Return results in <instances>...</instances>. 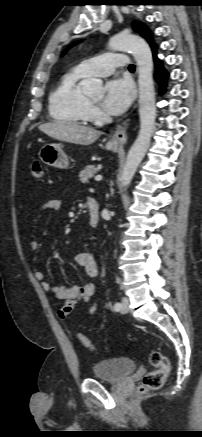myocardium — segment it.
Returning <instances> with one entry per match:
<instances>
[{
    "label": "myocardium",
    "instance_id": "obj_1",
    "mask_svg": "<svg viewBox=\"0 0 202 437\" xmlns=\"http://www.w3.org/2000/svg\"><path fill=\"white\" fill-rule=\"evenodd\" d=\"M88 101H89V103H90L91 106H93V105L96 104L94 101H92V100H90V99H88Z\"/></svg>",
    "mask_w": 202,
    "mask_h": 437
}]
</instances>
